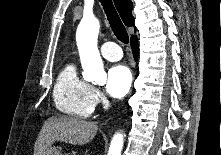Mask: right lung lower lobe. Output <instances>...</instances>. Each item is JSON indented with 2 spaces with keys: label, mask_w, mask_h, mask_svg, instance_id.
Returning a JSON list of instances; mask_svg holds the SVG:
<instances>
[{
  "label": "right lung lower lobe",
  "mask_w": 221,
  "mask_h": 155,
  "mask_svg": "<svg viewBox=\"0 0 221 155\" xmlns=\"http://www.w3.org/2000/svg\"><path fill=\"white\" fill-rule=\"evenodd\" d=\"M131 47H132L134 58H135V60H137V57H138V42H137L136 36H132V38H131Z\"/></svg>",
  "instance_id": "98d812e1"
}]
</instances>
